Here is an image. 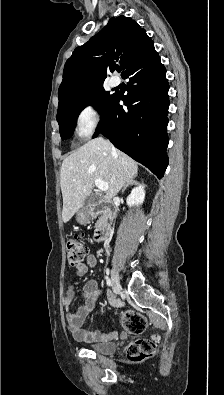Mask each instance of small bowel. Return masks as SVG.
<instances>
[{"label": "small bowel", "instance_id": "small-bowel-1", "mask_svg": "<svg viewBox=\"0 0 224 395\" xmlns=\"http://www.w3.org/2000/svg\"><path fill=\"white\" fill-rule=\"evenodd\" d=\"M86 263L94 267L96 265V259L93 255H87ZM88 271V267L84 263H80L76 266V275L84 276ZM83 302L76 311H71L70 307L75 295L74 287L70 285L66 292L63 305L66 309V322L70 333L73 338L81 342H99L110 340L117 337L114 332H102L100 330L89 331L83 328V324L95 307L96 301L100 296V290L96 280L92 279L87 281L83 288ZM109 301L115 303V300L111 294L108 295Z\"/></svg>", "mask_w": 224, "mask_h": 395}]
</instances>
